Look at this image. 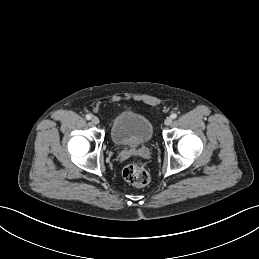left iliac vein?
Instances as JSON below:
<instances>
[{
    "label": "left iliac vein",
    "instance_id": "1",
    "mask_svg": "<svg viewBox=\"0 0 259 259\" xmlns=\"http://www.w3.org/2000/svg\"><path fill=\"white\" fill-rule=\"evenodd\" d=\"M171 123H172V118H171V117H167V118L165 119V121H164V124H165L166 126L170 125Z\"/></svg>",
    "mask_w": 259,
    "mask_h": 259
}]
</instances>
